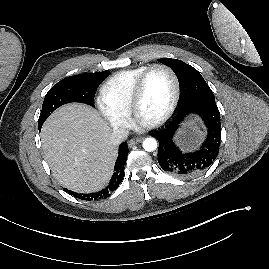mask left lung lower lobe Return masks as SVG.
<instances>
[{
	"label": "left lung lower lobe",
	"instance_id": "0a47b994",
	"mask_svg": "<svg viewBox=\"0 0 269 269\" xmlns=\"http://www.w3.org/2000/svg\"><path fill=\"white\" fill-rule=\"evenodd\" d=\"M197 113L208 129V137L200 148L184 152L176 145L174 134L184 117ZM159 141L158 162L161 168L179 178H193L207 170L215 161L221 141L220 113L215 101H193L180 107L174 120L152 134Z\"/></svg>",
	"mask_w": 269,
	"mask_h": 269
}]
</instances>
